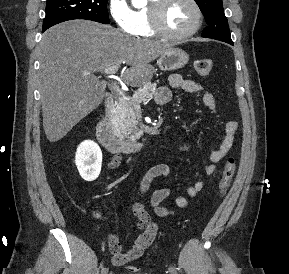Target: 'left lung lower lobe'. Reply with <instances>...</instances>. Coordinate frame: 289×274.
<instances>
[{
    "label": "left lung lower lobe",
    "instance_id": "left-lung-lower-lobe-1",
    "mask_svg": "<svg viewBox=\"0 0 289 274\" xmlns=\"http://www.w3.org/2000/svg\"><path fill=\"white\" fill-rule=\"evenodd\" d=\"M227 43H229V44L233 45V42H232V41H228Z\"/></svg>",
    "mask_w": 289,
    "mask_h": 274
}]
</instances>
